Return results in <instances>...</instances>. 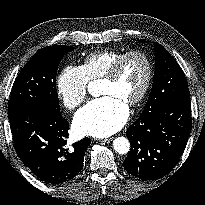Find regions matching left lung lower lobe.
<instances>
[{"instance_id":"0a47b994","label":"left lung lower lobe","mask_w":205,"mask_h":205,"mask_svg":"<svg viewBox=\"0 0 205 205\" xmlns=\"http://www.w3.org/2000/svg\"><path fill=\"white\" fill-rule=\"evenodd\" d=\"M192 128L190 96L178 97L156 113L138 118L126 131L131 149L123 166L142 180H156L177 164Z\"/></svg>"}]
</instances>
